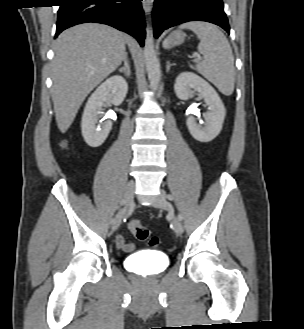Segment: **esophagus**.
<instances>
[{
  "label": "esophagus",
  "mask_w": 304,
  "mask_h": 329,
  "mask_svg": "<svg viewBox=\"0 0 304 329\" xmlns=\"http://www.w3.org/2000/svg\"><path fill=\"white\" fill-rule=\"evenodd\" d=\"M152 3H153V0H143L142 1L143 10L147 15L150 14V12H151Z\"/></svg>",
  "instance_id": "esophagus-1"
}]
</instances>
